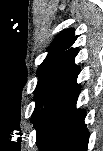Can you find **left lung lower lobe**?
<instances>
[{"label": "left lung lower lobe", "mask_w": 103, "mask_h": 151, "mask_svg": "<svg viewBox=\"0 0 103 151\" xmlns=\"http://www.w3.org/2000/svg\"><path fill=\"white\" fill-rule=\"evenodd\" d=\"M78 48H68L38 76L31 122L41 151H87L86 113L78 109L80 68L74 63Z\"/></svg>", "instance_id": "left-lung-lower-lobe-1"}]
</instances>
